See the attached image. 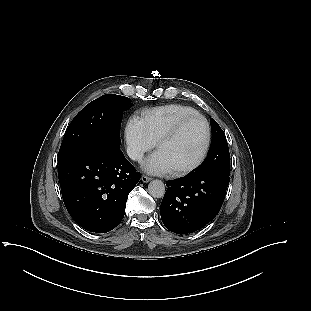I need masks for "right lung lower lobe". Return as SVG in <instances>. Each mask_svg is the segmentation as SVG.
<instances>
[{"instance_id": "98d812e1", "label": "right lung lower lobe", "mask_w": 311, "mask_h": 311, "mask_svg": "<svg viewBox=\"0 0 311 311\" xmlns=\"http://www.w3.org/2000/svg\"><path fill=\"white\" fill-rule=\"evenodd\" d=\"M64 204L85 230L111 231L124 217L130 191L140 173L120 149L90 148L59 164Z\"/></svg>"}]
</instances>
